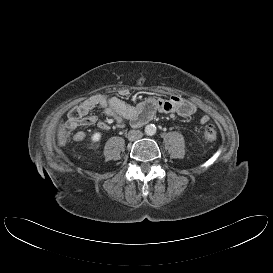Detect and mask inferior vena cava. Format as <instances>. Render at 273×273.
Returning a JSON list of instances; mask_svg holds the SVG:
<instances>
[{"instance_id":"1","label":"inferior vena cava","mask_w":273,"mask_h":273,"mask_svg":"<svg viewBox=\"0 0 273 273\" xmlns=\"http://www.w3.org/2000/svg\"><path fill=\"white\" fill-rule=\"evenodd\" d=\"M143 137V133L140 130H130L128 133V139L131 141L138 140Z\"/></svg>"}]
</instances>
